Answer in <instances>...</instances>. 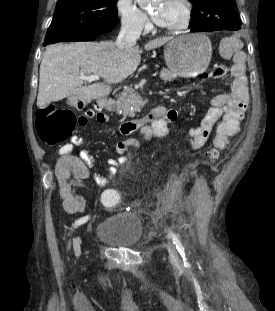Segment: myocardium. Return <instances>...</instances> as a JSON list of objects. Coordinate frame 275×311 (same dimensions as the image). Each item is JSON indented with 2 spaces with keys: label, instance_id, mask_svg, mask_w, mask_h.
Listing matches in <instances>:
<instances>
[{
  "label": "myocardium",
  "instance_id": "obj_1",
  "mask_svg": "<svg viewBox=\"0 0 275 311\" xmlns=\"http://www.w3.org/2000/svg\"><path fill=\"white\" fill-rule=\"evenodd\" d=\"M183 8L184 16L183 20L174 26H163L160 25L164 31L167 32H181L187 29L192 20V6L189 0H176Z\"/></svg>",
  "mask_w": 275,
  "mask_h": 311
}]
</instances>
